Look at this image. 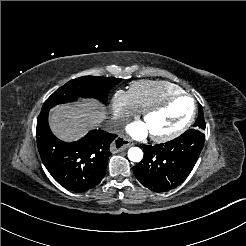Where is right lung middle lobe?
I'll return each instance as SVG.
<instances>
[{"mask_svg": "<svg viewBox=\"0 0 246 246\" xmlns=\"http://www.w3.org/2000/svg\"><path fill=\"white\" fill-rule=\"evenodd\" d=\"M121 80L95 76H83L73 79L56 90L45 101L42 110H49L57 104L76 101L78 97L95 98L106 104L110 89Z\"/></svg>", "mask_w": 246, "mask_h": 246, "instance_id": "right-lung-middle-lobe-1", "label": "right lung middle lobe"}]
</instances>
